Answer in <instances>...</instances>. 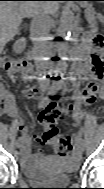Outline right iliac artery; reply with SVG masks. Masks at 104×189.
Wrapping results in <instances>:
<instances>
[{
	"label": "right iliac artery",
	"mask_w": 104,
	"mask_h": 189,
	"mask_svg": "<svg viewBox=\"0 0 104 189\" xmlns=\"http://www.w3.org/2000/svg\"><path fill=\"white\" fill-rule=\"evenodd\" d=\"M56 93V89L55 88H52L51 91H50V94L51 95H54ZM48 102V98H44L38 105V108H42L44 107ZM21 142L23 141V138L22 137H19V139Z\"/></svg>",
	"instance_id": "1"
}]
</instances>
